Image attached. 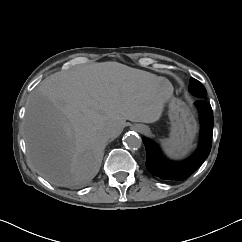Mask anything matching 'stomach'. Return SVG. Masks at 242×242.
<instances>
[{
  "instance_id": "obj_1",
  "label": "stomach",
  "mask_w": 242,
  "mask_h": 242,
  "mask_svg": "<svg viewBox=\"0 0 242 242\" xmlns=\"http://www.w3.org/2000/svg\"><path fill=\"white\" fill-rule=\"evenodd\" d=\"M168 114L171 123L170 138L163 141L165 149H172L179 155L186 154L192 145L196 125L193 115L187 106L175 97L168 101ZM144 127L143 125H137Z\"/></svg>"
}]
</instances>
